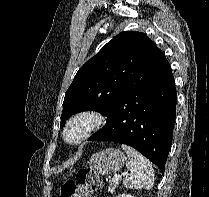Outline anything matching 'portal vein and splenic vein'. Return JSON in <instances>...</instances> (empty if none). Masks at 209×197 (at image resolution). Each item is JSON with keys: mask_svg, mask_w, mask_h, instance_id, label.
Instances as JSON below:
<instances>
[{"mask_svg": "<svg viewBox=\"0 0 209 197\" xmlns=\"http://www.w3.org/2000/svg\"><path fill=\"white\" fill-rule=\"evenodd\" d=\"M121 177H122L121 175H115L114 178L112 179V182L118 183Z\"/></svg>", "mask_w": 209, "mask_h": 197, "instance_id": "obj_1", "label": "portal vein and splenic vein"}]
</instances>
